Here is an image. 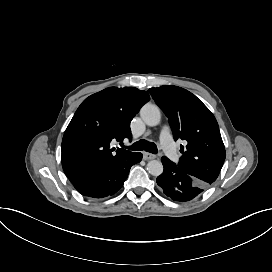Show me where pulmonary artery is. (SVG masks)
Here are the masks:
<instances>
[{"label":"pulmonary artery","mask_w":272,"mask_h":272,"mask_svg":"<svg viewBox=\"0 0 272 272\" xmlns=\"http://www.w3.org/2000/svg\"><path fill=\"white\" fill-rule=\"evenodd\" d=\"M172 130L168 127H163L161 129V137L159 140L162 152L170 157L172 163L177 164L180 158L176 152V146L173 140Z\"/></svg>","instance_id":"1"}]
</instances>
